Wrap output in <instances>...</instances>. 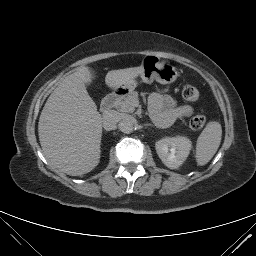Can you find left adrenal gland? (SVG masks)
Instances as JSON below:
<instances>
[{
    "instance_id": "obj_1",
    "label": "left adrenal gland",
    "mask_w": 256,
    "mask_h": 256,
    "mask_svg": "<svg viewBox=\"0 0 256 256\" xmlns=\"http://www.w3.org/2000/svg\"><path fill=\"white\" fill-rule=\"evenodd\" d=\"M150 124H145V126H149Z\"/></svg>"
}]
</instances>
